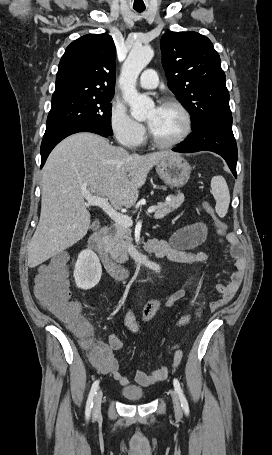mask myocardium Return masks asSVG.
Wrapping results in <instances>:
<instances>
[{
  "instance_id": "myocardium-1",
  "label": "myocardium",
  "mask_w": 272,
  "mask_h": 455,
  "mask_svg": "<svg viewBox=\"0 0 272 455\" xmlns=\"http://www.w3.org/2000/svg\"><path fill=\"white\" fill-rule=\"evenodd\" d=\"M160 106H170L176 108L182 115L183 120H184V128L181 132V134L170 141H162L159 140L158 138L155 137V135L152 133L151 129L149 128V139L151 143L158 147V148H172L175 147L182 142H184L189 135L192 132V117L189 112V110L178 100L173 99V98H166L164 99Z\"/></svg>"
}]
</instances>
